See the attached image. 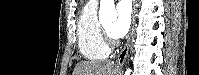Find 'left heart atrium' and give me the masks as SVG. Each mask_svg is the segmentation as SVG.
<instances>
[{
	"label": "left heart atrium",
	"mask_w": 199,
	"mask_h": 75,
	"mask_svg": "<svg viewBox=\"0 0 199 75\" xmlns=\"http://www.w3.org/2000/svg\"><path fill=\"white\" fill-rule=\"evenodd\" d=\"M131 24V9L128 1H121L117 5V18L110 27V33L113 38L124 37Z\"/></svg>",
	"instance_id": "left-heart-atrium-1"
}]
</instances>
